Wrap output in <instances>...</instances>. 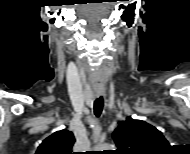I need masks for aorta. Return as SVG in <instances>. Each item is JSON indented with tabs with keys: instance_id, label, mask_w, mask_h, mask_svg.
<instances>
[{
	"instance_id": "aorta-1",
	"label": "aorta",
	"mask_w": 190,
	"mask_h": 154,
	"mask_svg": "<svg viewBox=\"0 0 190 154\" xmlns=\"http://www.w3.org/2000/svg\"><path fill=\"white\" fill-rule=\"evenodd\" d=\"M112 147H113V146H112L111 144H108V143L101 144V145L99 146V148L102 149V151H103V150H110Z\"/></svg>"
}]
</instances>
